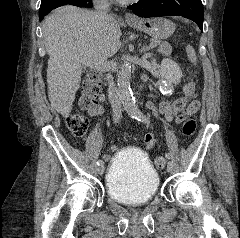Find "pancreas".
I'll return each mask as SVG.
<instances>
[{
  "label": "pancreas",
  "mask_w": 240,
  "mask_h": 238,
  "mask_svg": "<svg viewBox=\"0 0 240 238\" xmlns=\"http://www.w3.org/2000/svg\"><path fill=\"white\" fill-rule=\"evenodd\" d=\"M155 42H157L159 53H161L163 55H170L171 54L172 47L168 42L160 41V40H156Z\"/></svg>",
  "instance_id": "pancreas-1"
}]
</instances>
